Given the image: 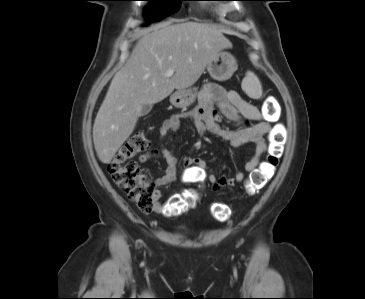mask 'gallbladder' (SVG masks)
<instances>
[{
	"mask_svg": "<svg viewBox=\"0 0 365 299\" xmlns=\"http://www.w3.org/2000/svg\"><path fill=\"white\" fill-rule=\"evenodd\" d=\"M152 109V105L151 104H146L142 107L141 110V116H145L147 115Z\"/></svg>",
	"mask_w": 365,
	"mask_h": 299,
	"instance_id": "1",
	"label": "gallbladder"
}]
</instances>
